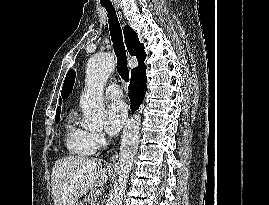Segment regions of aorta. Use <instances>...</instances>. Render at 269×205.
<instances>
[{
    "mask_svg": "<svg viewBox=\"0 0 269 205\" xmlns=\"http://www.w3.org/2000/svg\"><path fill=\"white\" fill-rule=\"evenodd\" d=\"M114 66L115 59L110 53L93 55L87 63L86 91L80 100L86 128H97L106 118L102 90ZM140 125L141 117L133 115L124 128L119 154L118 178L111 190L108 205H122L128 176L133 168L139 145Z\"/></svg>",
    "mask_w": 269,
    "mask_h": 205,
    "instance_id": "obj_1",
    "label": "aorta"
}]
</instances>
